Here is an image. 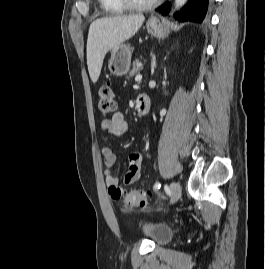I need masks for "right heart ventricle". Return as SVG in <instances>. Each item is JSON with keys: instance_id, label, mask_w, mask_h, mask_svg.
Wrapping results in <instances>:
<instances>
[{"instance_id": "1", "label": "right heart ventricle", "mask_w": 265, "mask_h": 269, "mask_svg": "<svg viewBox=\"0 0 265 269\" xmlns=\"http://www.w3.org/2000/svg\"><path fill=\"white\" fill-rule=\"evenodd\" d=\"M101 8L107 13L118 14L127 10L119 0H98Z\"/></svg>"}]
</instances>
